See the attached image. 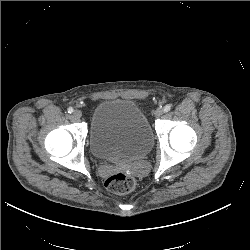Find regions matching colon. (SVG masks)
<instances>
[{
  "instance_id": "1",
  "label": "colon",
  "mask_w": 250,
  "mask_h": 250,
  "mask_svg": "<svg viewBox=\"0 0 250 250\" xmlns=\"http://www.w3.org/2000/svg\"><path fill=\"white\" fill-rule=\"evenodd\" d=\"M136 185V179L127 173H116L105 181L107 190L119 195L130 193L135 189Z\"/></svg>"
}]
</instances>
